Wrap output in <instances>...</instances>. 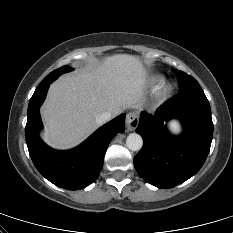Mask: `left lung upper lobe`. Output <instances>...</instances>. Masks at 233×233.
<instances>
[{"label":"left lung upper lobe","instance_id":"1","mask_svg":"<svg viewBox=\"0 0 233 233\" xmlns=\"http://www.w3.org/2000/svg\"><path fill=\"white\" fill-rule=\"evenodd\" d=\"M180 91H203L199 83L190 75L176 70Z\"/></svg>","mask_w":233,"mask_h":233}]
</instances>
